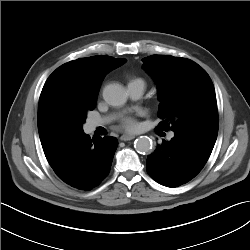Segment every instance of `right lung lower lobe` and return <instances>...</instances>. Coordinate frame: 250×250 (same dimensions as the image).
I'll use <instances>...</instances> for the list:
<instances>
[{"instance_id":"obj_1","label":"right lung lower lobe","mask_w":250,"mask_h":250,"mask_svg":"<svg viewBox=\"0 0 250 250\" xmlns=\"http://www.w3.org/2000/svg\"><path fill=\"white\" fill-rule=\"evenodd\" d=\"M117 145L115 137L90 138L81 132L42 147L49 165L63 182L88 191L108 175Z\"/></svg>"}]
</instances>
